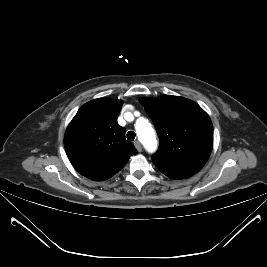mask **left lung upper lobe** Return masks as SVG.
I'll return each mask as SVG.
<instances>
[{"label": "left lung upper lobe", "mask_w": 267, "mask_h": 267, "mask_svg": "<svg viewBox=\"0 0 267 267\" xmlns=\"http://www.w3.org/2000/svg\"><path fill=\"white\" fill-rule=\"evenodd\" d=\"M159 136L154 164L165 175L189 178L208 160L213 147V126L207 113L192 100L165 95L142 98Z\"/></svg>", "instance_id": "left-lung-upper-lobe-1"}]
</instances>
